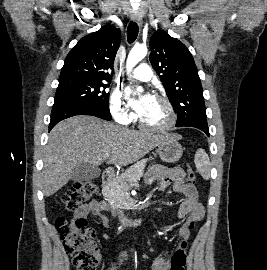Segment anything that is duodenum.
Listing matches in <instances>:
<instances>
[{
  "instance_id": "1",
  "label": "duodenum",
  "mask_w": 267,
  "mask_h": 270,
  "mask_svg": "<svg viewBox=\"0 0 267 270\" xmlns=\"http://www.w3.org/2000/svg\"><path fill=\"white\" fill-rule=\"evenodd\" d=\"M113 173L111 170H106L102 175V186L106 187L112 180ZM123 224L128 228L138 229L142 227L144 220L139 219H122Z\"/></svg>"
}]
</instances>
